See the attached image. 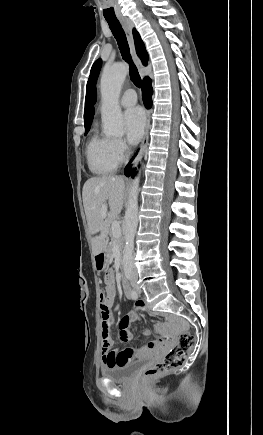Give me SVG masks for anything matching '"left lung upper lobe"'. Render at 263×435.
Masks as SVG:
<instances>
[{"mask_svg":"<svg viewBox=\"0 0 263 435\" xmlns=\"http://www.w3.org/2000/svg\"><path fill=\"white\" fill-rule=\"evenodd\" d=\"M101 64H102V60L98 59L94 62L91 71H90V76L87 82V86H86V98H85V103L88 106L90 101H91V97H92V93H93V88L95 85V82L97 80L100 68H101ZM92 114L90 116V121L92 120Z\"/></svg>","mask_w":263,"mask_h":435,"instance_id":"obj_1","label":"left lung upper lobe"}]
</instances>
